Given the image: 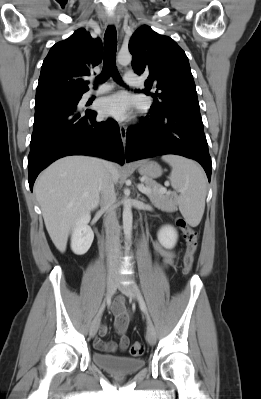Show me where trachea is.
<instances>
[{
	"mask_svg": "<svg viewBox=\"0 0 261 399\" xmlns=\"http://www.w3.org/2000/svg\"><path fill=\"white\" fill-rule=\"evenodd\" d=\"M117 49V33L114 26H109L104 35V61L102 73L97 77L100 83L105 82L110 76L121 82L117 71L115 57Z\"/></svg>",
	"mask_w": 261,
	"mask_h": 399,
	"instance_id": "3493384b",
	"label": "trachea"
}]
</instances>
